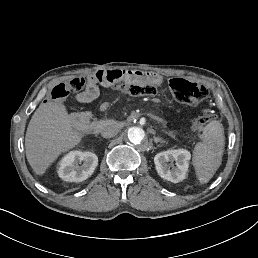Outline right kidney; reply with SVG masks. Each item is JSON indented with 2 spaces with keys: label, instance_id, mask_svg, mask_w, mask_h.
Wrapping results in <instances>:
<instances>
[{
  "label": "right kidney",
  "instance_id": "1",
  "mask_svg": "<svg viewBox=\"0 0 258 258\" xmlns=\"http://www.w3.org/2000/svg\"><path fill=\"white\" fill-rule=\"evenodd\" d=\"M84 160L78 166V161ZM98 164V157L94 152L73 149L67 152L58 163L57 173L66 182H82L92 175Z\"/></svg>",
  "mask_w": 258,
  "mask_h": 258
}]
</instances>
